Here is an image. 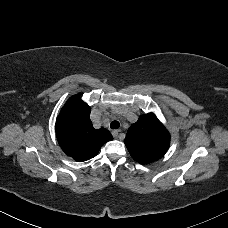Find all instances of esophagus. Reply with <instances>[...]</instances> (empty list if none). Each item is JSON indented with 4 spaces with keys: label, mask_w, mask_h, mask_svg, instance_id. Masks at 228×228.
<instances>
[{
    "label": "esophagus",
    "mask_w": 228,
    "mask_h": 228,
    "mask_svg": "<svg viewBox=\"0 0 228 228\" xmlns=\"http://www.w3.org/2000/svg\"><path fill=\"white\" fill-rule=\"evenodd\" d=\"M112 135H113L114 138L117 139L119 137V132L117 130H115V131L112 132Z\"/></svg>",
    "instance_id": "34e87169"
}]
</instances>
